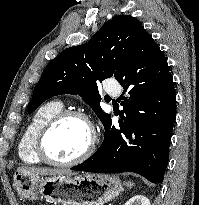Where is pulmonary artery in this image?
I'll use <instances>...</instances> for the list:
<instances>
[{"mask_svg":"<svg viewBox=\"0 0 199 205\" xmlns=\"http://www.w3.org/2000/svg\"><path fill=\"white\" fill-rule=\"evenodd\" d=\"M106 91L111 95H118L120 93L119 87H106Z\"/></svg>","mask_w":199,"mask_h":205,"instance_id":"obj_1","label":"pulmonary artery"}]
</instances>
